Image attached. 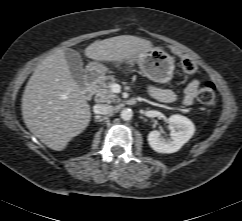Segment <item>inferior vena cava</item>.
<instances>
[{
	"label": "inferior vena cava",
	"instance_id": "obj_1",
	"mask_svg": "<svg viewBox=\"0 0 242 221\" xmlns=\"http://www.w3.org/2000/svg\"><path fill=\"white\" fill-rule=\"evenodd\" d=\"M114 107L108 104H97L94 106V112L96 114L107 115L114 111Z\"/></svg>",
	"mask_w": 242,
	"mask_h": 221
}]
</instances>
